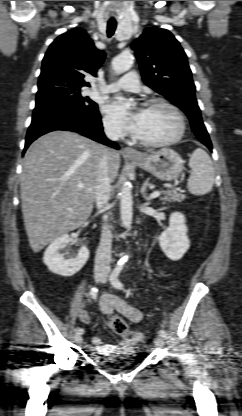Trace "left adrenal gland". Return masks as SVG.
Wrapping results in <instances>:
<instances>
[{
    "instance_id": "1",
    "label": "left adrenal gland",
    "mask_w": 242,
    "mask_h": 416,
    "mask_svg": "<svg viewBox=\"0 0 242 416\" xmlns=\"http://www.w3.org/2000/svg\"><path fill=\"white\" fill-rule=\"evenodd\" d=\"M148 185H149V178H147L145 180V182L143 183V185L141 187V190H140V193H141V195L143 196V198L145 200L150 201V198L147 197V194H146V190H147Z\"/></svg>"
}]
</instances>
